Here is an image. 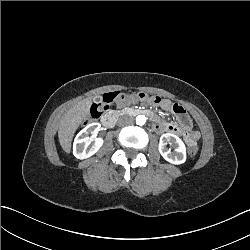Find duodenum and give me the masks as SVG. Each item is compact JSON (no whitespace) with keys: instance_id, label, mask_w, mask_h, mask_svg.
I'll list each match as a JSON object with an SVG mask.
<instances>
[{"instance_id":"1","label":"duodenum","mask_w":250,"mask_h":250,"mask_svg":"<svg viewBox=\"0 0 250 250\" xmlns=\"http://www.w3.org/2000/svg\"><path fill=\"white\" fill-rule=\"evenodd\" d=\"M130 113L134 116L137 115H148V113L142 109V108H137V109H133L130 111ZM117 113L116 112H110L108 114L105 115V117L102 120V124L105 128L110 129L114 126L115 123V117H116Z\"/></svg>"}]
</instances>
